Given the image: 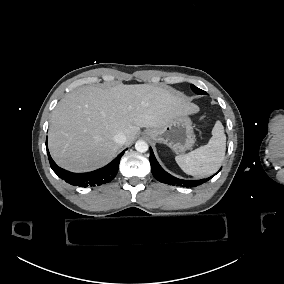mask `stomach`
I'll return each instance as SVG.
<instances>
[{"instance_id": "obj_1", "label": "stomach", "mask_w": 284, "mask_h": 284, "mask_svg": "<svg viewBox=\"0 0 284 284\" xmlns=\"http://www.w3.org/2000/svg\"><path fill=\"white\" fill-rule=\"evenodd\" d=\"M143 137L166 145L174 154L188 151L195 143L193 126L187 116L177 117L162 127L148 128Z\"/></svg>"}]
</instances>
